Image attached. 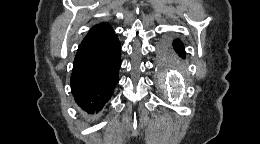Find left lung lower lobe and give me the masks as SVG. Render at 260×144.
Masks as SVG:
<instances>
[{
    "label": "left lung lower lobe",
    "mask_w": 260,
    "mask_h": 144,
    "mask_svg": "<svg viewBox=\"0 0 260 144\" xmlns=\"http://www.w3.org/2000/svg\"><path fill=\"white\" fill-rule=\"evenodd\" d=\"M173 50L179 54L180 57L184 58L185 57V49L180 40H174L172 43Z\"/></svg>",
    "instance_id": "left-lung-lower-lobe-1"
}]
</instances>
